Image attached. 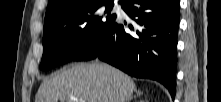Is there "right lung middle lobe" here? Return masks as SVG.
I'll return each mask as SVG.
<instances>
[{
    "label": "right lung middle lobe",
    "mask_w": 221,
    "mask_h": 102,
    "mask_svg": "<svg viewBox=\"0 0 221 102\" xmlns=\"http://www.w3.org/2000/svg\"><path fill=\"white\" fill-rule=\"evenodd\" d=\"M113 0L76 1L45 21L40 69L74 60L116 21ZM105 6V11L103 7Z\"/></svg>",
    "instance_id": "obj_1"
}]
</instances>
